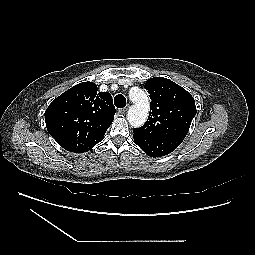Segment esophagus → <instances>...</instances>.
I'll list each match as a JSON object with an SVG mask.
<instances>
[{
    "label": "esophagus",
    "instance_id": "esophagus-1",
    "mask_svg": "<svg viewBox=\"0 0 255 255\" xmlns=\"http://www.w3.org/2000/svg\"><path fill=\"white\" fill-rule=\"evenodd\" d=\"M128 108H129V106H126V107H124V108L119 109L118 112H119L120 114H125V113L127 112Z\"/></svg>",
    "mask_w": 255,
    "mask_h": 255
}]
</instances>
